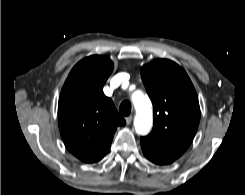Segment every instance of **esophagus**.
Masks as SVG:
<instances>
[{
  "mask_svg": "<svg viewBox=\"0 0 245 195\" xmlns=\"http://www.w3.org/2000/svg\"><path fill=\"white\" fill-rule=\"evenodd\" d=\"M132 120H133V116H132V115L126 117V123H127L128 125L131 124Z\"/></svg>",
  "mask_w": 245,
  "mask_h": 195,
  "instance_id": "obj_1",
  "label": "esophagus"
}]
</instances>
